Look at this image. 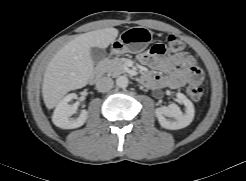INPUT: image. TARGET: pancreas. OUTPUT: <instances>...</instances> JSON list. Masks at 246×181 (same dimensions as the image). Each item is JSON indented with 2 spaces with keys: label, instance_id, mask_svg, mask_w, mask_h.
Wrapping results in <instances>:
<instances>
[{
  "label": "pancreas",
  "instance_id": "1",
  "mask_svg": "<svg viewBox=\"0 0 246 181\" xmlns=\"http://www.w3.org/2000/svg\"><path fill=\"white\" fill-rule=\"evenodd\" d=\"M101 73H106L108 76L116 77L126 72V67L121 58L105 59L99 66Z\"/></svg>",
  "mask_w": 246,
  "mask_h": 181
}]
</instances>
